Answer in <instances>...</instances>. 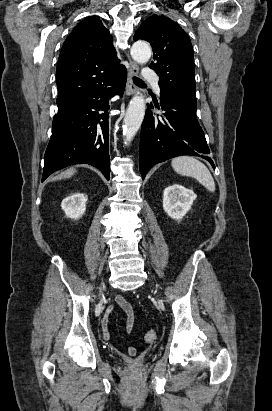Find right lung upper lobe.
<instances>
[{"mask_svg":"<svg viewBox=\"0 0 272 411\" xmlns=\"http://www.w3.org/2000/svg\"><path fill=\"white\" fill-rule=\"evenodd\" d=\"M124 68L118 64L112 36L98 16L89 17L65 40L56 69L57 106L109 83Z\"/></svg>","mask_w":272,"mask_h":411,"instance_id":"obj_1","label":"right lung upper lobe"}]
</instances>
